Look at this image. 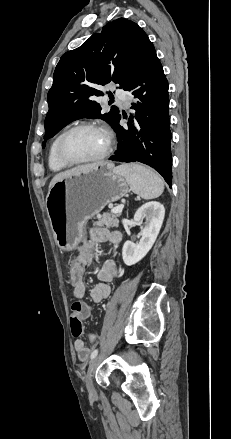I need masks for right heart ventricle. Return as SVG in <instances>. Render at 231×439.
<instances>
[{
    "label": "right heart ventricle",
    "mask_w": 231,
    "mask_h": 439,
    "mask_svg": "<svg viewBox=\"0 0 231 439\" xmlns=\"http://www.w3.org/2000/svg\"><path fill=\"white\" fill-rule=\"evenodd\" d=\"M61 133L57 135L53 141L50 144L49 151H48V166L50 170L54 172H58L61 170H64L68 167L67 164L62 162L57 154V142L60 137Z\"/></svg>",
    "instance_id": "1"
}]
</instances>
